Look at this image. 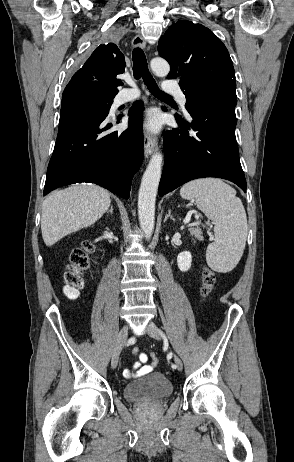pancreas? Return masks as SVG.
<instances>
[{
	"label": "pancreas",
	"mask_w": 294,
	"mask_h": 462,
	"mask_svg": "<svg viewBox=\"0 0 294 462\" xmlns=\"http://www.w3.org/2000/svg\"><path fill=\"white\" fill-rule=\"evenodd\" d=\"M190 234L197 240H203L202 231L199 226H192L188 229Z\"/></svg>",
	"instance_id": "cf45deb5"
}]
</instances>
